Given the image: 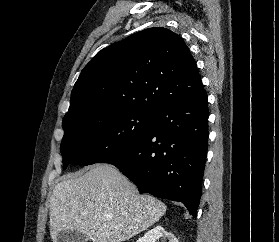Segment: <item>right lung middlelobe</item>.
<instances>
[{
	"label": "right lung middle lobe",
	"mask_w": 279,
	"mask_h": 242,
	"mask_svg": "<svg viewBox=\"0 0 279 242\" xmlns=\"http://www.w3.org/2000/svg\"><path fill=\"white\" fill-rule=\"evenodd\" d=\"M153 116V112L129 109L90 119H70L62 124L63 168L70 163H98L134 145L150 132Z\"/></svg>",
	"instance_id": "dd1d6c3e"
}]
</instances>
